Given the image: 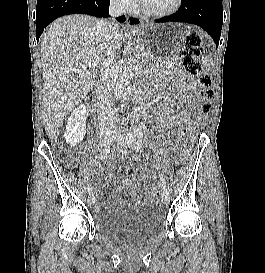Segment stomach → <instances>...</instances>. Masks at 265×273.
Returning a JSON list of instances; mask_svg holds the SVG:
<instances>
[{"instance_id": "1", "label": "stomach", "mask_w": 265, "mask_h": 273, "mask_svg": "<svg viewBox=\"0 0 265 273\" xmlns=\"http://www.w3.org/2000/svg\"><path fill=\"white\" fill-rule=\"evenodd\" d=\"M187 30H195V25H155L135 29L132 33L138 37V44H132V49H147L139 55L141 64H173L176 51L163 49H177Z\"/></svg>"}]
</instances>
